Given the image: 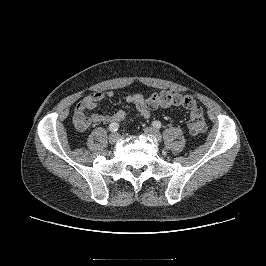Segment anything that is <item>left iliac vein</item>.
Masks as SVG:
<instances>
[{"mask_svg":"<svg viewBox=\"0 0 266 266\" xmlns=\"http://www.w3.org/2000/svg\"><path fill=\"white\" fill-rule=\"evenodd\" d=\"M144 133L147 136H149V137H151V138H153V139H155L157 141H160L161 138H162L160 132L157 129L153 128V127L145 128L144 129Z\"/></svg>","mask_w":266,"mask_h":266,"instance_id":"4c4485c4","label":"left iliac vein"}]
</instances>
